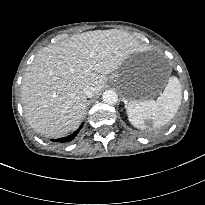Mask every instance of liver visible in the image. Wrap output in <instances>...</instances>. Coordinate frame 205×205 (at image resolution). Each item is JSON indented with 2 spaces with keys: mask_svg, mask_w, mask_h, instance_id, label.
<instances>
[{
  "mask_svg": "<svg viewBox=\"0 0 205 205\" xmlns=\"http://www.w3.org/2000/svg\"><path fill=\"white\" fill-rule=\"evenodd\" d=\"M138 50L136 40L116 29L73 35L41 49L22 80L21 99L30 126L47 137L76 130L85 112L91 86L98 95L117 70Z\"/></svg>",
  "mask_w": 205,
  "mask_h": 205,
  "instance_id": "1",
  "label": "liver"
}]
</instances>
